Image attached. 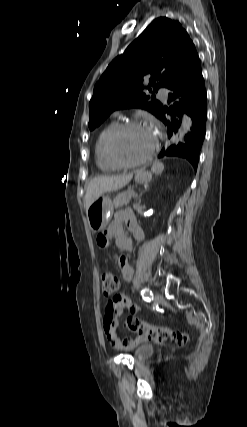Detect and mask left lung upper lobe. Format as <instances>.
<instances>
[{
  "label": "left lung upper lobe",
  "mask_w": 247,
  "mask_h": 427,
  "mask_svg": "<svg viewBox=\"0 0 247 427\" xmlns=\"http://www.w3.org/2000/svg\"><path fill=\"white\" fill-rule=\"evenodd\" d=\"M198 59L193 42L178 21L155 19L109 64L95 85L89 103V129L94 130L121 108H143L159 117L163 105L146 92L169 88L188 74ZM147 78L149 85L144 83Z\"/></svg>",
  "instance_id": "5c2ea615"
}]
</instances>
